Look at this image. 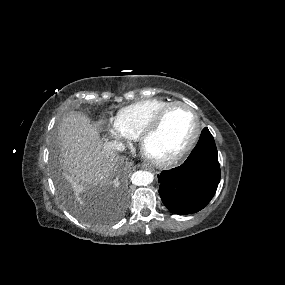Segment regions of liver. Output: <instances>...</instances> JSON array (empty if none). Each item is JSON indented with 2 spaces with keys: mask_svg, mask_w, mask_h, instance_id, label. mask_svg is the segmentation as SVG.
<instances>
[{
  "mask_svg": "<svg viewBox=\"0 0 285 285\" xmlns=\"http://www.w3.org/2000/svg\"><path fill=\"white\" fill-rule=\"evenodd\" d=\"M63 165L74 185L106 182L114 170L113 160L96 127L81 113H71L59 126Z\"/></svg>",
  "mask_w": 285,
  "mask_h": 285,
  "instance_id": "1",
  "label": "liver"
}]
</instances>
